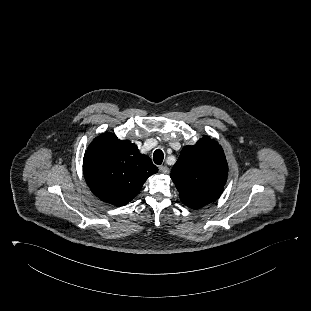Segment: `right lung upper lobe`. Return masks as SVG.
I'll return each instance as SVG.
<instances>
[{
	"label": "right lung upper lobe",
	"instance_id": "right-lung-upper-lobe-1",
	"mask_svg": "<svg viewBox=\"0 0 311 311\" xmlns=\"http://www.w3.org/2000/svg\"><path fill=\"white\" fill-rule=\"evenodd\" d=\"M158 168L135 144L106 132L96 137L83 158V173L93 194L104 202L126 205Z\"/></svg>",
	"mask_w": 311,
	"mask_h": 311
}]
</instances>
